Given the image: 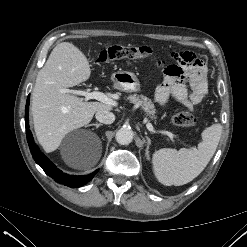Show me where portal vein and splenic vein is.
<instances>
[{
  "mask_svg": "<svg viewBox=\"0 0 247 247\" xmlns=\"http://www.w3.org/2000/svg\"><path fill=\"white\" fill-rule=\"evenodd\" d=\"M62 92L84 96L86 101L89 99H96V100H98L104 104L109 105V106H116L117 105L116 101L109 98L104 93L98 92V91H93V92L88 93V92L81 91V90L64 89V90H62ZM146 127L150 132L161 133L163 135H167L170 139H173L175 137V135L169 131H165V130L156 131L154 129V127L152 126V124L149 122H147Z\"/></svg>",
  "mask_w": 247,
  "mask_h": 247,
  "instance_id": "18ae733b",
  "label": "portal vein and splenic vein"
}]
</instances>
